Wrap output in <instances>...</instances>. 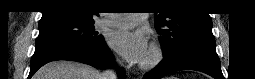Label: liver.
Returning <instances> with one entry per match:
<instances>
[{"instance_id": "6515ba94", "label": "liver", "mask_w": 255, "mask_h": 79, "mask_svg": "<svg viewBox=\"0 0 255 79\" xmlns=\"http://www.w3.org/2000/svg\"><path fill=\"white\" fill-rule=\"evenodd\" d=\"M95 68L69 60L53 61L40 68L33 79H100Z\"/></svg>"}]
</instances>
